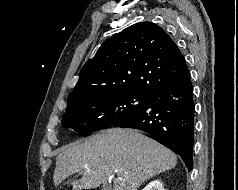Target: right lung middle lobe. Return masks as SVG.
<instances>
[{"instance_id": "dd1d6c3e", "label": "right lung middle lobe", "mask_w": 238, "mask_h": 190, "mask_svg": "<svg viewBox=\"0 0 238 190\" xmlns=\"http://www.w3.org/2000/svg\"><path fill=\"white\" fill-rule=\"evenodd\" d=\"M148 100L149 97L134 93L83 97L66 109L62 125L86 136L114 126L141 110Z\"/></svg>"}]
</instances>
